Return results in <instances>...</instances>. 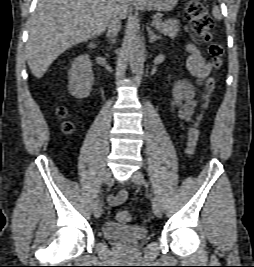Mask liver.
Segmentation results:
<instances>
[{
  "instance_id": "liver-1",
  "label": "liver",
  "mask_w": 254,
  "mask_h": 267,
  "mask_svg": "<svg viewBox=\"0 0 254 267\" xmlns=\"http://www.w3.org/2000/svg\"><path fill=\"white\" fill-rule=\"evenodd\" d=\"M113 14L125 19L128 0H39L26 46L32 74L43 77L67 49L100 35Z\"/></svg>"
}]
</instances>
